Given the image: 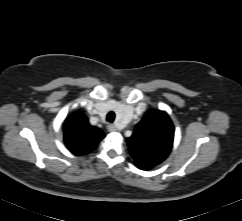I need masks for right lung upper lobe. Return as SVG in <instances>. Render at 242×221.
Wrapping results in <instances>:
<instances>
[{
    "label": "right lung upper lobe",
    "mask_w": 242,
    "mask_h": 221,
    "mask_svg": "<svg viewBox=\"0 0 242 221\" xmlns=\"http://www.w3.org/2000/svg\"><path fill=\"white\" fill-rule=\"evenodd\" d=\"M64 142L75 155H85L95 149L105 137L102 130L90 126L88 119L80 112H75L64 123Z\"/></svg>",
    "instance_id": "obj_1"
}]
</instances>
